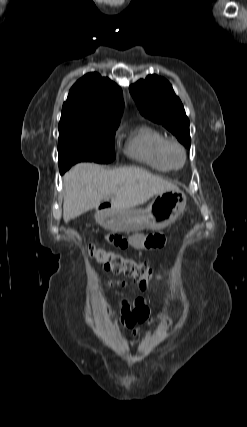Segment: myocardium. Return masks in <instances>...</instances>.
Wrapping results in <instances>:
<instances>
[{"mask_svg": "<svg viewBox=\"0 0 247 427\" xmlns=\"http://www.w3.org/2000/svg\"><path fill=\"white\" fill-rule=\"evenodd\" d=\"M176 153L179 154V158L175 157ZM165 157L172 168H180L186 161L185 148L176 140H167L165 145Z\"/></svg>", "mask_w": 247, "mask_h": 427, "instance_id": "f54148a6", "label": "myocardium"}]
</instances>
